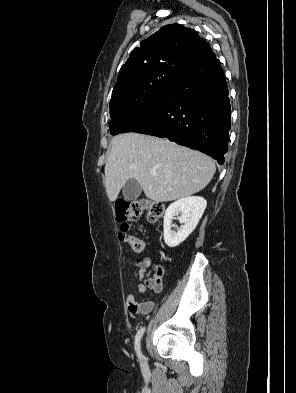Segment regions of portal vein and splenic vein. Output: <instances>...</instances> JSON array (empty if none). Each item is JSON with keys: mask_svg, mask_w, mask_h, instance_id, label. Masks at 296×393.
<instances>
[{"mask_svg": "<svg viewBox=\"0 0 296 393\" xmlns=\"http://www.w3.org/2000/svg\"><path fill=\"white\" fill-rule=\"evenodd\" d=\"M151 175L152 176H156V172H151Z\"/></svg>", "mask_w": 296, "mask_h": 393, "instance_id": "18ae733b", "label": "portal vein and splenic vein"}]
</instances>
